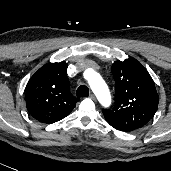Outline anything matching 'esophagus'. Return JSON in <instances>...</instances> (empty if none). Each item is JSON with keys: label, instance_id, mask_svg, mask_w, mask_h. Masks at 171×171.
<instances>
[{"label": "esophagus", "instance_id": "esophagus-1", "mask_svg": "<svg viewBox=\"0 0 171 171\" xmlns=\"http://www.w3.org/2000/svg\"><path fill=\"white\" fill-rule=\"evenodd\" d=\"M89 98H90L91 100H93V101H96V97H95L94 94H90Z\"/></svg>", "mask_w": 171, "mask_h": 171}]
</instances>
